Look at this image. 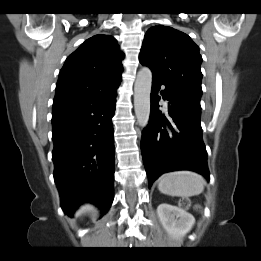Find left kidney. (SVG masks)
Wrapping results in <instances>:
<instances>
[{"label":"left kidney","instance_id":"obj_1","mask_svg":"<svg viewBox=\"0 0 261 261\" xmlns=\"http://www.w3.org/2000/svg\"><path fill=\"white\" fill-rule=\"evenodd\" d=\"M157 214L163 228L174 239L183 238L195 224L192 214L170 204H160Z\"/></svg>","mask_w":261,"mask_h":261}]
</instances>
